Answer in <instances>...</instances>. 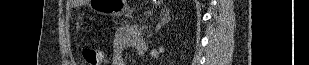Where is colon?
<instances>
[{
	"label": "colon",
	"instance_id": "1",
	"mask_svg": "<svg viewBox=\"0 0 309 65\" xmlns=\"http://www.w3.org/2000/svg\"><path fill=\"white\" fill-rule=\"evenodd\" d=\"M82 56L88 65H103L105 63L102 52L94 47L84 48Z\"/></svg>",
	"mask_w": 309,
	"mask_h": 65
}]
</instances>
